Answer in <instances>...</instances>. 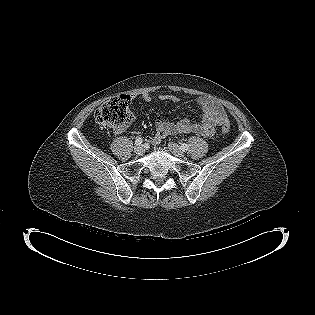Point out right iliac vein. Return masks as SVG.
<instances>
[{"instance_id": "obj_1", "label": "right iliac vein", "mask_w": 315, "mask_h": 315, "mask_svg": "<svg viewBox=\"0 0 315 315\" xmlns=\"http://www.w3.org/2000/svg\"><path fill=\"white\" fill-rule=\"evenodd\" d=\"M134 151H135V153L137 155H143L145 150H144V148L142 146H137V147L134 148Z\"/></svg>"}]
</instances>
